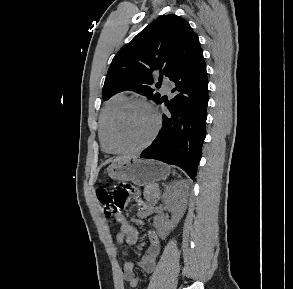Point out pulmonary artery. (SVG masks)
<instances>
[{
	"label": "pulmonary artery",
	"mask_w": 293,
	"mask_h": 289,
	"mask_svg": "<svg viewBox=\"0 0 293 289\" xmlns=\"http://www.w3.org/2000/svg\"><path fill=\"white\" fill-rule=\"evenodd\" d=\"M170 87H171V82H170V80H164V82H163V88H164V90L166 91V92H169V90H170Z\"/></svg>",
	"instance_id": "pulmonary-artery-1"
}]
</instances>
